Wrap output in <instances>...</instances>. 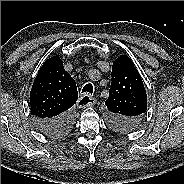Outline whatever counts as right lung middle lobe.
<instances>
[{"instance_id": "obj_1", "label": "right lung middle lobe", "mask_w": 184, "mask_h": 184, "mask_svg": "<svg viewBox=\"0 0 184 184\" xmlns=\"http://www.w3.org/2000/svg\"><path fill=\"white\" fill-rule=\"evenodd\" d=\"M71 127H72V124L69 125V126H67V127L65 128V130L60 131V132H58V133H56V134H53V135H49V136L60 137V136L66 135V134L70 131Z\"/></svg>"}]
</instances>
